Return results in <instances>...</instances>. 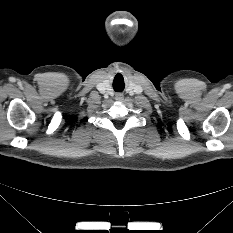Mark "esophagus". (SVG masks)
Returning a JSON list of instances; mask_svg holds the SVG:
<instances>
[{
	"mask_svg": "<svg viewBox=\"0 0 233 233\" xmlns=\"http://www.w3.org/2000/svg\"><path fill=\"white\" fill-rule=\"evenodd\" d=\"M123 98H124L123 95L120 94V93L116 94V96H115V99H116L117 101H122Z\"/></svg>",
	"mask_w": 233,
	"mask_h": 233,
	"instance_id": "34e87169",
	"label": "esophagus"
}]
</instances>
